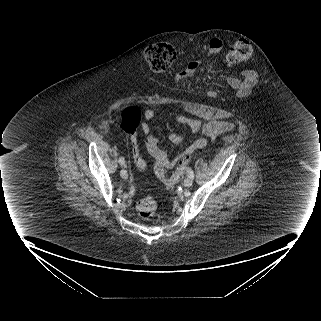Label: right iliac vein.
Instances as JSON below:
<instances>
[{"label": "right iliac vein", "instance_id": "63e3f726", "mask_svg": "<svg viewBox=\"0 0 321 321\" xmlns=\"http://www.w3.org/2000/svg\"><path fill=\"white\" fill-rule=\"evenodd\" d=\"M120 175L123 179H127L128 178V173L125 169H122L120 172Z\"/></svg>", "mask_w": 321, "mask_h": 321}]
</instances>
